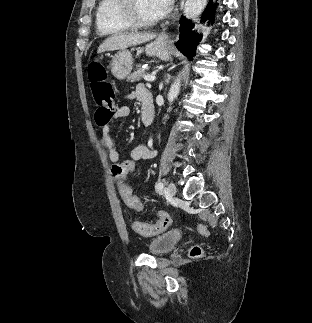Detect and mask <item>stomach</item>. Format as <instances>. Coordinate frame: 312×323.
<instances>
[{
	"instance_id": "0dacf381",
	"label": "stomach",
	"mask_w": 312,
	"mask_h": 323,
	"mask_svg": "<svg viewBox=\"0 0 312 323\" xmlns=\"http://www.w3.org/2000/svg\"><path fill=\"white\" fill-rule=\"evenodd\" d=\"M144 52L147 56H156V58L168 62L171 56V42L169 36H165V34L157 36L154 42L147 44ZM132 68L133 56L126 48H124V50H119V52L113 56L110 70L117 80H125V78L129 76Z\"/></svg>"
}]
</instances>
